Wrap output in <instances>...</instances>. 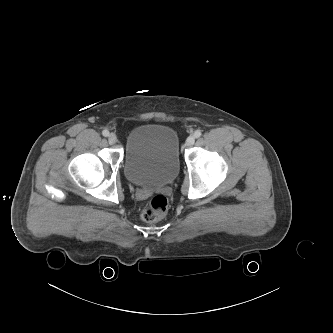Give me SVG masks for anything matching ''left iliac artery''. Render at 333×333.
I'll return each mask as SVG.
<instances>
[{
  "instance_id": "44dca946",
  "label": "left iliac artery",
  "mask_w": 333,
  "mask_h": 333,
  "mask_svg": "<svg viewBox=\"0 0 333 333\" xmlns=\"http://www.w3.org/2000/svg\"><path fill=\"white\" fill-rule=\"evenodd\" d=\"M201 136V132L199 130L195 131L194 137L199 138Z\"/></svg>"
}]
</instances>
